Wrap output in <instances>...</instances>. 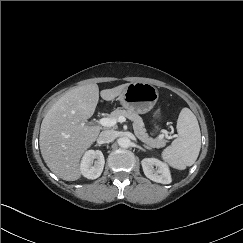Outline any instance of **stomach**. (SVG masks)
<instances>
[{
    "mask_svg": "<svg viewBox=\"0 0 243 243\" xmlns=\"http://www.w3.org/2000/svg\"><path fill=\"white\" fill-rule=\"evenodd\" d=\"M158 98L159 92L155 86L145 82H134L127 85L118 100L126 110L145 114L154 107Z\"/></svg>",
    "mask_w": 243,
    "mask_h": 243,
    "instance_id": "obj_1",
    "label": "stomach"
}]
</instances>
